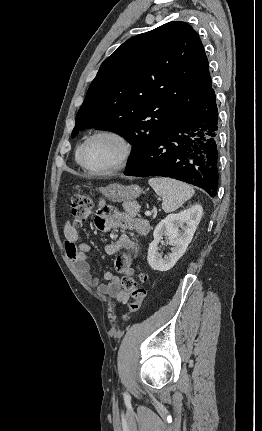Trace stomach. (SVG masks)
I'll list each match as a JSON object with an SVG mask.
<instances>
[{"label": "stomach", "mask_w": 262, "mask_h": 431, "mask_svg": "<svg viewBox=\"0 0 262 431\" xmlns=\"http://www.w3.org/2000/svg\"><path fill=\"white\" fill-rule=\"evenodd\" d=\"M98 190L108 200L112 202L129 203L131 207H133L134 204L130 202L139 197L142 193V189L138 185L124 186L117 183L101 187Z\"/></svg>", "instance_id": "0dacf381"}]
</instances>
